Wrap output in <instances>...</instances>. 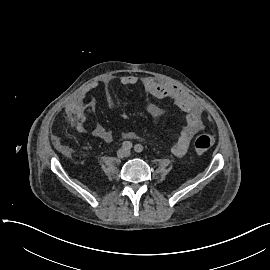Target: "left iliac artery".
<instances>
[{
	"label": "left iliac artery",
	"mask_w": 270,
	"mask_h": 270,
	"mask_svg": "<svg viewBox=\"0 0 270 270\" xmlns=\"http://www.w3.org/2000/svg\"><path fill=\"white\" fill-rule=\"evenodd\" d=\"M134 150H135L137 153H140V152L143 151V147H142V145L137 144V145L134 146Z\"/></svg>",
	"instance_id": "1"
}]
</instances>
